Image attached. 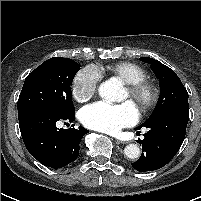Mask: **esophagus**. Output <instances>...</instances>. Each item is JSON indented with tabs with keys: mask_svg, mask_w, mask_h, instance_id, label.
Segmentation results:
<instances>
[{
	"mask_svg": "<svg viewBox=\"0 0 201 201\" xmlns=\"http://www.w3.org/2000/svg\"><path fill=\"white\" fill-rule=\"evenodd\" d=\"M116 142H117L118 144H126V143H127L126 141L119 140V139H117Z\"/></svg>",
	"mask_w": 201,
	"mask_h": 201,
	"instance_id": "esophagus-1",
	"label": "esophagus"
}]
</instances>
